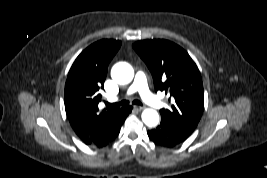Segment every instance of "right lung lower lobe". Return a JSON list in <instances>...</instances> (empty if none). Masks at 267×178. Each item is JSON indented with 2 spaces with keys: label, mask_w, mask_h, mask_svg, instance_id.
Masks as SVG:
<instances>
[{
  "label": "right lung lower lobe",
  "mask_w": 267,
  "mask_h": 178,
  "mask_svg": "<svg viewBox=\"0 0 267 178\" xmlns=\"http://www.w3.org/2000/svg\"><path fill=\"white\" fill-rule=\"evenodd\" d=\"M131 110V106L122 107L118 115L113 120L98 126L94 130H92L88 136L80 139L86 145L98 148L109 145L118 136L120 128Z\"/></svg>",
  "instance_id": "1"
}]
</instances>
